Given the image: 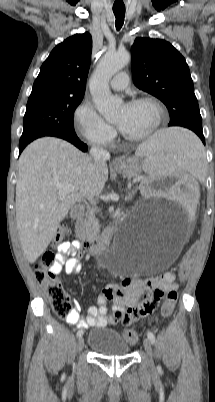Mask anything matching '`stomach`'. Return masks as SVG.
<instances>
[{
    "mask_svg": "<svg viewBox=\"0 0 215 402\" xmlns=\"http://www.w3.org/2000/svg\"><path fill=\"white\" fill-rule=\"evenodd\" d=\"M142 165L137 157H125L115 170L124 177L133 178L140 175Z\"/></svg>",
    "mask_w": 215,
    "mask_h": 402,
    "instance_id": "obj_1",
    "label": "stomach"
}]
</instances>
